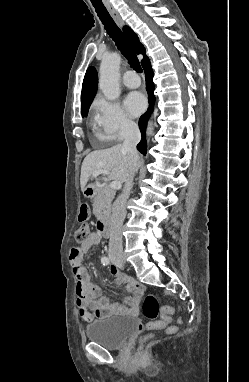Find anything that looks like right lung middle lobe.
<instances>
[{"label":"right lung middle lobe","mask_w":249,"mask_h":382,"mask_svg":"<svg viewBox=\"0 0 249 382\" xmlns=\"http://www.w3.org/2000/svg\"><path fill=\"white\" fill-rule=\"evenodd\" d=\"M82 113V116L83 117H86L87 116V114H88V109L87 110H85V111H83V112H81Z\"/></svg>","instance_id":"right-lung-middle-lobe-1"}]
</instances>
